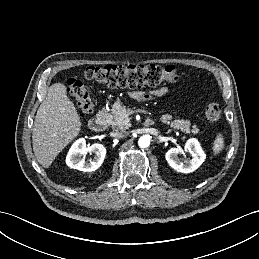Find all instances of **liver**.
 Masks as SVG:
<instances>
[{
	"instance_id": "6515ba94",
	"label": "liver",
	"mask_w": 259,
	"mask_h": 259,
	"mask_svg": "<svg viewBox=\"0 0 259 259\" xmlns=\"http://www.w3.org/2000/svg\"><path fill=\"white\" fill-rule=\"evenodd\" d=\"M82 122L63 83L52 84L38 108L32 132L37 161L49 168L57 155L78 136Z\"/></svg>"
}]
</instances>
